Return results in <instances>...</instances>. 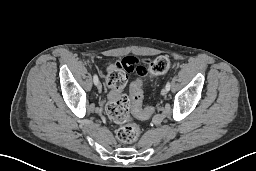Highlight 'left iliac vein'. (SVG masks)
Segmentation results:
<instances>
[{
	"instance_id": "left-iliac-vein-1",
	"label": "left iliac vein",
	"mask_w": 256,
	"mask_h": 171,
	"mask_svg": "<svg viewBox=\"0 0 256 171\" xmlns=\"http://www.w3.org/2000/svg\"><path fill=\"white\" fill-rule=\"evenodd\" d=\"M167 93H168L167 88H166V87H165V88H163V89H162V91H161L162 96H166V95H167Z\"/></svg>"
}]
</instances>
